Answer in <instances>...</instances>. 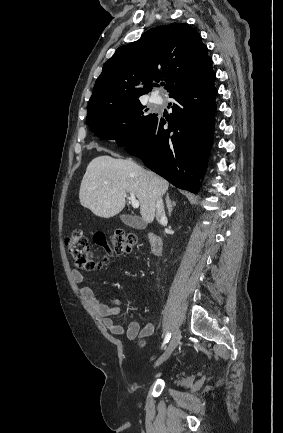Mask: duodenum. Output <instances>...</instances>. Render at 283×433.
<instances>
[{
	"mask_svg": "<svg viewBox=\"0 0 283 433\" xmlns=\"http://www.w3.org/2000/svg\"><path fill=\"white\" fill-rule=\"evenodd\" d=\"M147 238L150 244L151 252L156 256L161 255L163 252L162 238L154 233H149Z\"/></svg>",
	"mask_w": 283,
	"mask_h": 433,
	"instance_id": "duodenum-1",
	"label": "duodenum"
}]
</instances>
